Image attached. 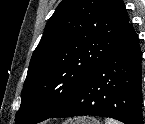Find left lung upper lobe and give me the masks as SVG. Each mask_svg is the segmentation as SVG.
<instances>
[{"instance_id": "5c2ea615", "label": "left lung upper lobe", "mask_w": 145, "mask_h": 124, "mask_svg": "<svg viewBox=\"0 0 145 124\" xmlns=\"http://www.w3.org/2000/svg\"><path fill=\"white\" fill-rule=\"evenodd\" d=\"M129 25L123 0H63L32 55L16 124H37L69 102Z\"/></svg>"}]
</instances>
